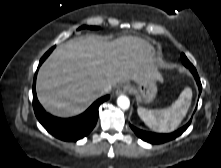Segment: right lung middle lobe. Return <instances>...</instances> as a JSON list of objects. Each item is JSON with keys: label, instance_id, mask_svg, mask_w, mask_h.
Returning a JSON list of instances; mask_svg holds the SVG:
<instances>
[{"label": "right lung middle lobe", "instance_id": "obj_1", "mask_svg": "<svg viewBox=\"0 0 221 168\" xmlns=\"http://www.w3.org/2000/svg\"><path fill=\"white\" fill-rule=\"evenodd\" d=\"M81 28H85V26L81 27ZM79 28V29H81ZM87 28H90V29H98V27H95V26H91V27H87Z\"/></svg>", "mask_w": 221, "mask_h": 168}]
</instances>
